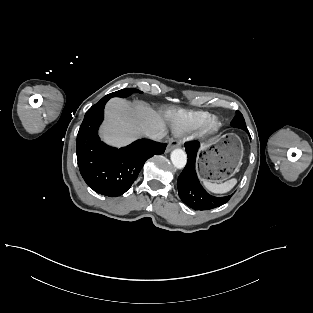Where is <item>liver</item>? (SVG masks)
I'll use <instances>...</instances> for the list:
<instances>
[{"label": "liver", "mask_w": 313, "mask_h": 313, "mask_svg": "<svg viewBox=\"0 0 313 313\" xmlns=\"http://www.w3.org/2000/svg\"><path fill=\"white\" fill-rule=\"evenodd\" d=\"M105 122L101 127V135L105 142L121 147L125 146L149 132L166 130V118L172 116L156 112L148 105L137 102L132 104L121 98L111 99L105 108Z\"/></svg>", "instance_id": "liver-1"}]
</instances>
